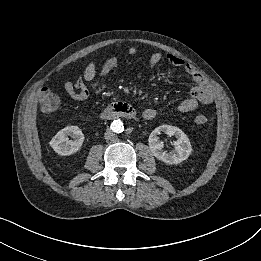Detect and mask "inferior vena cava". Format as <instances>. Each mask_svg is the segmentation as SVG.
<instances>
[{"label":"inferior vena cava","mask_w":261,"mask_h":261,"mask_svg":"<svg viewBox=\"0 0 261 261\" xmlns=\"http://www.w3.org/2000/svg\"><path fill=\"white\" fill-rule=\"evenodd\" d=\"M115 134L113 133V131H111L110 129H107L104 135V138L106 140H113L115 137Z\"/></svg>","instance_id":"1"}]
</instances>
